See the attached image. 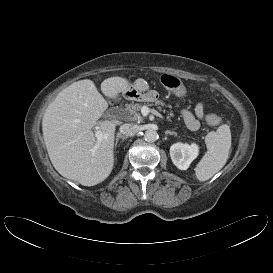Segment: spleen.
<instances>
[{"mask_svg": "<svg viewBox=\"0 0 273 273\" xmlns=\"http://www.w3.org/2000/svg\"><path fill=\"white\" fill-rule=\"evenodd\" d=\"M207 152L197 164L195 175L199 181L209 180L226 164L231 148V131L223 124L216 131L209 132L205 138Z\"/></svg>", "mask_w": 273, "mask_h": 273, "instance_id": "spleen-1", "label": "spleen"}]
</instances>
